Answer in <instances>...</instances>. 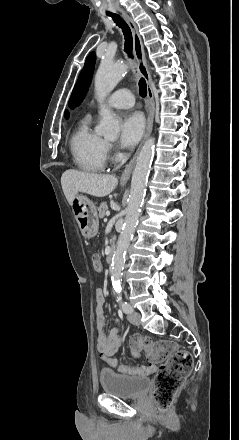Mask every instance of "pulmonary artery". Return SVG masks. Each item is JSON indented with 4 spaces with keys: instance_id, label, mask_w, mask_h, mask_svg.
I'll use <instances>...</instances> for the list:
<instances>
[{
    "instance_id": "1",
    "label": "pulmonary artery",
    "mask_w": 239,
    "mask_h": 440,
    "mask_svg": "<svg viewBox=\"0 0 239 440\" xmlns=\"http://www.w3.org/2000/svg\"><path fill=\"white\" fill-rule=\"evenodd\" d=\"M107 105L111 108H129L134 105V96L129 90L120 89L109 96Z\"/></svg>"
}]
</instances>
